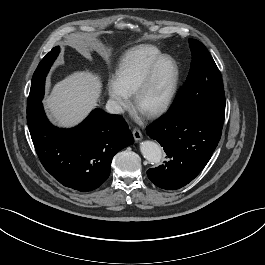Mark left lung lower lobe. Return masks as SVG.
Instances as JSON below:
<instances>
[{
  "instance_id": "1",
  "label": "left lung lower lobe",
  "mask_w": 265,
  "mask_h": 265,
  "mask_svg": "<svg viewBox=\"0 0 265 265\" xmlns=\"http://www.w3.org/2000/svg\"><path fill=\"white\" fill-rule=\"evenodd\" d=\"M222 127L194 112H168L147 127L150 138L164 148L169 160L147 171L158 187L179 189L205 167L218 145Z\"/></svg>"
}]
</instances>
